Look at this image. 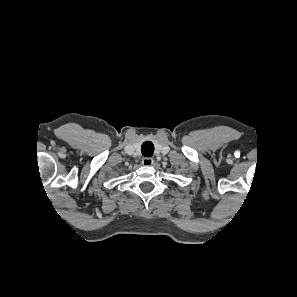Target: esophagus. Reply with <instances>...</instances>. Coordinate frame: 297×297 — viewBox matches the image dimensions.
<instances>
[{
	"mask_svg": "<svg viewBox=\"0 0 297 297\" xmlns=\"http://www.w3.org/2000/svg\"><path fill=\"white\" fill-rule=\"evenodd\" d=\"M153 163H154L153 158H150V157H144V158L142 159V164H143L144 166H151V165H153Z\"/></svg>",
	"mask_w": 297,
	"mask_h": 297,
	"instance_id": "obj_1",
	"label": "esophagus"
}]
</instances>
